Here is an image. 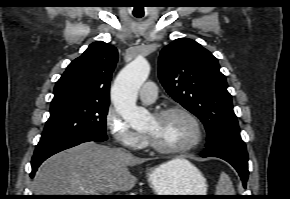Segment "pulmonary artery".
Segmentation results:
<instances>
[{
  "label": "pulmonary artery",
  "instance_id": "obj_1",
  "mask_svg": "<svg viewBox=\"0 0 290 199\" xmlns=\"http://www.w3.org/2000/svg\"><path fill=\"white\" fill-rule=\"evenodd\" d=\"M139 98L146 104H152L157 99V88L153 82H146L142 85L139 92Z\"/></svg>",
  "mask_w": 290,
  "mask_h": 199
}]
</instances>
